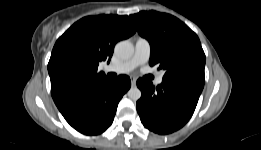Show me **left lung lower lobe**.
Here are the masks:
<instances>
[{
  "mask_svg": "<svg viewBox=\"0 0 261 150\" xmlns=\"http://www.w3.org/2000/svg\"><path fill=\"white\" fill-rule=\"evenodd\" d=\"M137 86L142 92L137 101V112L141 122L158 134L172 133L191 118L204 81L191 76L163 78L160 85L138 79Z\"/></svg>",
  "mask_w": 261,
  "mask_h": 150,
  "instance_id": "1",
  "label": "left lung lower lobe"
}]
</instances>
